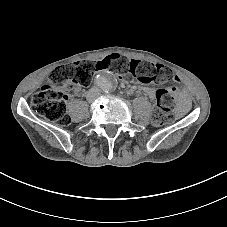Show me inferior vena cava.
<instances>
[{"mask_svg": "<svg viewBox=\"0 0 227 227\" xmlns=\"http://www.w3.org/2000/svg\"><path fill=\"white\" fill-rule=\"evenodd\" d=\"M90 92H91V93H95L96 90L92 88V89H90Z\"/></svg>", "mask_w": 227, "mask_h": 227, "instance_id": "1", "label": "inferior vena cava"}]
</instances>
